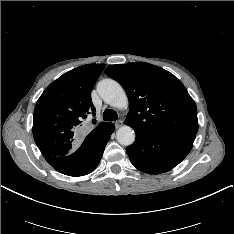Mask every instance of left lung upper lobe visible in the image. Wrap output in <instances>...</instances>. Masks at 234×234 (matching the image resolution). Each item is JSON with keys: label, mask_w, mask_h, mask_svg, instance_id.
<instances>
[{"label": "left lung upper lobe", "mask_w": 234, "mask_h": 234, "mask_svg": "<svg viewBox=\"0 0 234 234\" xmlns=\"http://www.w3.org/2000/svg\"><path fill=\"white\" fill-rule=\"evenodd\" d=\"M105 73L126 90L129 112L125 124L134 130L197 134L195 102L170 72L138 62L112 65Z\"/></svg>", "instance_id": "5c2ea615"}]
</instances>
